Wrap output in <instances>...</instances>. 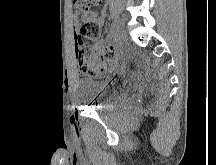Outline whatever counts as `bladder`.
<instances>
[{
  "instance_id": "1",
  "label": "bladder",
  "mask_w": 216,
  "mask_h": 165,
  "mask_svg": "<svg viewBox=\"0 0 216 165\" xmlns=\"http://www.w3.org/2000/svg\"><path fill=\"white\" fill-rule=\"evenodd\" d=\"M121 76H95V81H89V95L86 100L93 101L94 111H109L116 94L120 93Z\"/></svg>"
}]
</instances>
